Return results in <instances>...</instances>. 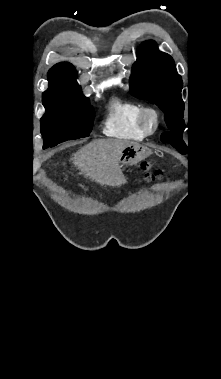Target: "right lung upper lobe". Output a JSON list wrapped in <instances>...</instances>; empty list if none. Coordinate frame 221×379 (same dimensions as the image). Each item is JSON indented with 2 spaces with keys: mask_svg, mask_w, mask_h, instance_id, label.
<instances>
[{
  "mask_svg": "<svg viewBox=\"0 0 221 379\" xmlns=\"http://www.w3.org/2000/svg\"><path fill=\"white\" fill-rule=\"evenodd\" d=\"M77 72L72 64L62 62L48 72L49 88L43 93V100L81 98V87L76 81Z\"/></svg>",
  "mask_w": 221,
  "mask_h": 379,
  "instance_id": "1",
  "label": "right lung upper lobe"
}]
</instances>
